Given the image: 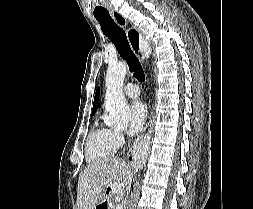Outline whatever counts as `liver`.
<instances>
[{
    "label": "liver",
    "mask_w": 253,
    "mask_h": 209,
    "mask_svg": "<svg viewBox=\"0 0 253 209\" xmlns=\"http://www.w3.org/2000/svg\"><path fill=\"white\" fill-rule=\"evenodd\" d=\"M131 181L129 166L119 158L89 164L79 175L77 209H94L107 186H110L113 193L123 195L125 190L130 189Z\"/></svg>",
    "instance_id": "6515ba94"
}]
</instances>
